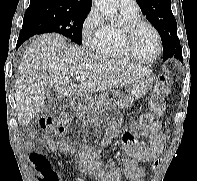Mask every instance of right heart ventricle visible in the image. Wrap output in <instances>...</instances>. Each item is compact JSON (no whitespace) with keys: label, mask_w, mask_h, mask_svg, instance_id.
I'll return each mask as SVG.
<instances>
[{"label":"right heart ventricle","mask_w":197,"mask_h":181,"mask_svg":"<svg viewBox=\"0 0 197 181\" xmlns=\"http://www.w3.org/2000/svg\"><path fill=\"white\" fill-rule=\"evenodd\" d=\"M121 20L118 23H111L106 25L104 35L100 42L95 46L96 52L109 58L131 59V57L124 50L121 39L120 30L123 24L140 19L139 9L137 10H122Z\"/></svg>","instance_id":"e07e8e85"}]
</instances>
